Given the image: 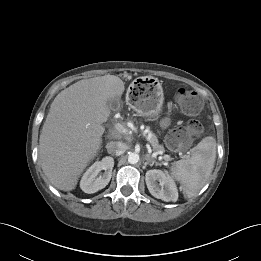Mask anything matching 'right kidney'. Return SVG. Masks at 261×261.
Segmentation results:
<instances>
[{
  "mask_svg": "<svg viewBox=\"0 0 261 261\" xmlns=\"http://www.w3.org/2000/svg\"><path fill=\"white\" fill-rule=\"evenodd\" d=\"M113 166L114 159L112 157H105L90 166L80 181L82 191L92 194L105 188L111 179ZM101 170L105 171L99 175Z\"/></svg>",
  "mask_w": 261,
  "mask_h": 261,
  "instance_id": "right-kidney-1",
  "label": "right kidney"
}]
</instances>
